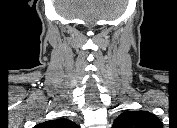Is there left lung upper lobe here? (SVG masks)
<instances>
[{"label":"left lung upper lobe","instance_id":"1","mask_svg":"<svg viewBox=\"0 0 177 128\" xmlns=\"http://www.w3.org/2000/svg\"><path fill=\"white\" fill-rule=\"evenodd\" d=\"M161 128L160 120L148 111H129L122 113L112 128Z\"/></svg>","mask_w":177,"mask_h":128}]
</instances>
